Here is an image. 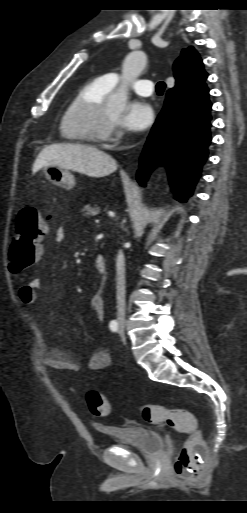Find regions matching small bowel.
Instances as JSON below:
<instances>
[{
  "label": "small bowel",
  "instance_id": "c3829d8e",
  "mask_svg": "<svg viewBox=\"0 0 247 513\" xmlns=\"http://www.w3.org/2000/svg\"><path fill=\"white\" fill-rule=\"evenodd\" d=\"M54 241L61 243L65 239V230L63 227H57L53 234ZM42 249V248H41ZM42 289L40 278H33L27 284L20 286L18 296L20 301L27 305H33L37 299V292ZM90 307L94 311L97 319L103 321L105 317L104 301L100 294L94 293L90 297ZM45 366L61 371H78L79 364L74 360L71 353L60 350L55 347H47L41 356ZM111 356L104 348H99L92 352L88 359V368L92 371H100L109 367Z\"/></svg>",
  "mask_w": 247,
  "mask_h": 513
}]
</instances>
